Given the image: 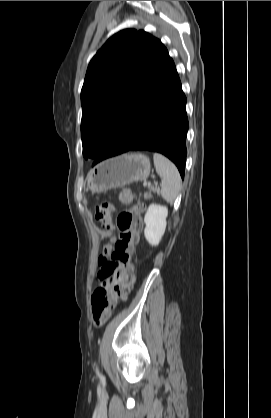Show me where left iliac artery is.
<instances>
[{
    "instance_id": "left-iliac-artery-1",
    "label": "left iliac artery",
    "mask_w": 271,
    "mask_h": 418,
    "mask_svg": "<svg viewBox=\"0 0 271 418\" xmlns=\"http://www.w3.org/2000/svg\"><path fill=\"white\" fill-rule=\"evenodd\" d=\"M96 373H97V375H100L98 367H96Z\"/></svg>"
}]
</instances>
